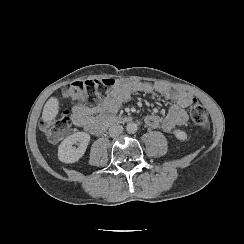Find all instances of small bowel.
Segmentation results:
<instances>
[{"mask_svg":"<svg viewBox=\"0 0 244 244\" xmlns=\"http://www.w3.org/2000/svg\"><path fill=\"white\" fill-rule=\"evenodd\" d=\"M150 86V83L137 80H119L97 104L87 105L80 102L73 106V123L76 127L93 135H101L120 106L135 93L152 92ZM153 86L161 96L172 101V104L163 118L156 114H147L144 118L145 123L152 128L161 126L165 132L174 134L179 126L187 122L189 109L196 99L193 94L179 87L166 84Z\"/></svg>","mask_w":244,"mask_h":244,"instance_id":"1","label":"small bowel"}]
</instances>
